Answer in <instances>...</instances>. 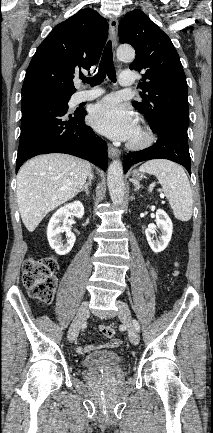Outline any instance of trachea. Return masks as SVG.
Returning <instances> with one entry per match:
<instances>
[{
	"mask_svg": "<svg viewBox=\"0 0 213 433\" xmlns=\"http://www.w3.org/2000/svg\"><path fill=\"white\" fill-rule=\"evenodd\" d=\"M106 75L112 82L114 83L116 82V72L113 64V53H112L111 41H108L107 45L104 48L102 58L99 64L98 73L93 78L83 77L82 81L84 83L92 84V86L99 85L104 81Z\"/></svg>",
	"mask_w": 213,
	"mask_h": 433,
	"instance_id": "obj_1",
	"label": "trachea"
}]
</instances>
